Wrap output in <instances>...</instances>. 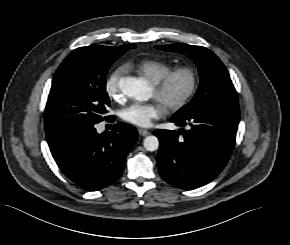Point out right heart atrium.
I'll list each match as a JSON object with an SVG mask.
<instances>
[{"mask_svg": "<svg viewBox=\"0 0 290 245\" xmlns=\"http://www.w3.org/2000/svg\"><path fill=\"white\" fill-rule=\"evenodd\" d=\"M125 72L124 67L116 68L108 77L105 84V91L109 98L114 101L121 102L125 95L121 89L120 80Z\"/></svg>", "mask_w": 290, "mask_h": 245, "instance_id": "d8ad5b80", "label": "right heart atrium"}]
</instances>
